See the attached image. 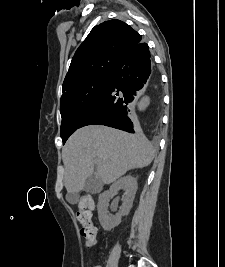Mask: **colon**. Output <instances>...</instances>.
Instances as JSON below:
<instances>
[{
  "label": "colon",
  "instance_id": "colon-1",
  "mask_svg": "<svg viewBox=\"0 0 225 267\" xmlns=\"http://www.w3.org/2000/svg\"><path fill=\"white\" fill-rule=\"evenodd\" d=\"M77 219L81 223V236L85 240L87 246L91 247L95 244L97 228L92 222L91 209L93 208V200L89 196H84L78 201Z\"/></svg>",
  "mask_w": 225,
  "mask_h": 267
}]
</instances>
